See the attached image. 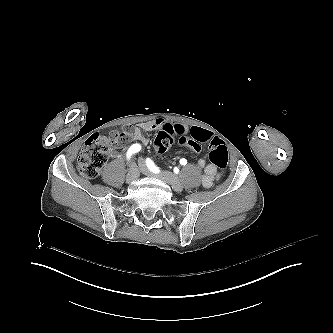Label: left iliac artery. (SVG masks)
I'll use <instances>...</instances> for the list:
<instances>
[{
  "label": "left iliac artery",
  "instance_id": "44dca946",
  "mask_svg": "<svg viewBox=\"0 0 333 333\" xmlns=\"http://www.w3.org/2000/svg\"><path fill=\"white\" fill-rule=\"evenodd\" d=\"M146 163H147L148 168H149L152 172H154V173H159V169H158V167L155 166L154 162H153L151 159L147 158ZM180 164H182V165H186V164H187V160L184 159V158H182V159L180 160Z\"/></svg>",
  "mask_w": 333,
  "mask_h": 333
}]
</instances>
